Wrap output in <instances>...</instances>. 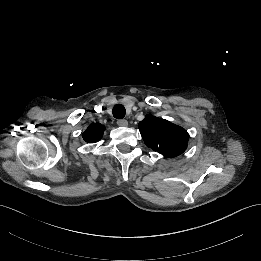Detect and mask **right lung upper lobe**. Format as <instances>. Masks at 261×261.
<instances>
[{"label": "right lung upper lobe", "mask_w": 261, "mask_h": 261, "mask_svg": "<svg viewBox=\"0 0 261 261\" xmlns=\"http://www.w3.org/2000/svg\"><path fill=\"white\" fill-rule=\"evenodd\" d=\"M104 132V126L100 123H92L83 133V139L88 143L99 141Z\"/></svg>", "instance_id": "cb5924a9"}]
</instances>
